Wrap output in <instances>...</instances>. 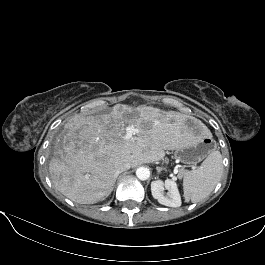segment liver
<instances>
[{"label": "liver", "instance_id": "liver-1", "mask_svg": "<svg viewBox=\"0 0 265 265\" xmlns=\"http://www.w3.org/2000/svg\"><path fill=\"white\" fill-rule=\"evenodd\" d=\"M191 116L152 106L132 109L117 104L111 112L75 115L63 126L49 172L56 189L80 204H94L112 192L117 167L161 160L165 150H176L195 139L186 125ZM203 133L208 129L199 121ZM126 124L138 129L126 139Z\"/></svg>", "mask_w": 265, "mask_h": 265}]
</instances>
